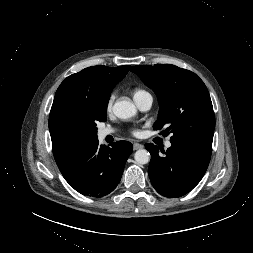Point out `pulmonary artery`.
Wrapping results in <instances>:
<instances>
[{
  "instance_id": "e3ab8cb5",
  "label": "pulmonary artery",
  "mask_w": 253,
  "mask_h": 253,
  "mask_svg": "<svg viewBox=\"0 0 253 253\" xmlns=\"http://www.w3.org/2000/svg\"><path fill=\"white\" fill-rule=\"evenodd\" d=\"M134 100L138 108L142 111H148L151 108L152 103H153V98L149 93L139 96L137 98H134ZM113 133H114L113 129L104 128L98 131V137L100 139H104L105 137H107L108 135H112ZM165 147L170 148L171 142L167 141L165 143Z\"/></svg>"
}]
</instances>
